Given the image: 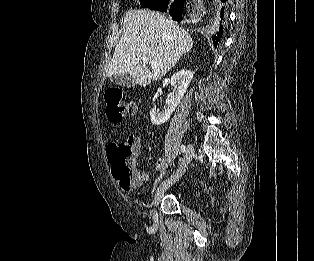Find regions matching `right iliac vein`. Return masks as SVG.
I'll use <instances>...</instances> for the list:
<instances>
[{"label":"right iliac vein","mask_w":314,"mask_h":261,"mask_svg":"<svg viewBox=\"0 0 314 261\" xmlns=\"http://www.w3.org/2000/svg\"><path fill=\"white\" fill-rule=\"evenodd\" d=\"M194 154V149L193 146L191 144H189L187 146V151L185 153L184 159L180 165V167L178 168V170L171 176L169 177L167 180H165L164 182H162L159 187L157 188V191L155 193L154 196V200H153V218L156 219L157 218V211H156V207L158 206L162 196L164 195L165 191L168 190L173 184H175L185 173V171L187 170L192 157Z\"/></svg>","instance_id":"1"}]
</instances>
